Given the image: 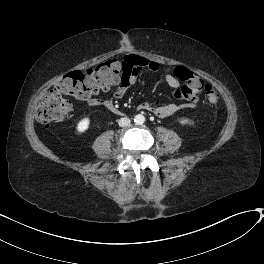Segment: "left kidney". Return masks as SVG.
I'll list each match as a JSON object with an SVG mask.
<instances>
[{
    "instance_id": "1",
    "label": "left kidney",
    "mask_w": 264,
    "mask_h": 264,
    "mask_svg": "<svg viewBox=\"0 0 264 264\" xmlns=\"http://www.w3.org/2000/svg\"><path fill=\"white\" fill-rule=\"evenodd\" d=\"M181 124H188V119L187 118H183L179 120Z\"/></svg>"
}]
</instances>
